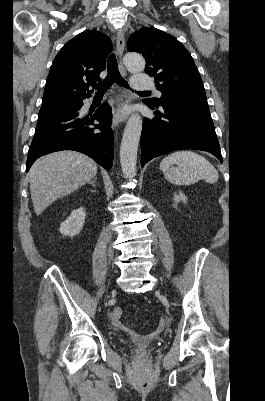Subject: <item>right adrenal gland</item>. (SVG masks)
I'll return each mask as SVG.
<instances>
[{
	"mask_svg": "<svg viewBox=\"0 0 265 401\" xmlns=\"http://www.w3.org/2000/svg\"><path fill=\"white\" fill-rule=\"evenodd\" d=\"M96 178L97 176H95L94 180H90L89 184H92V186H96Z\"/></svg>",
	"mask_w": 265,
	"mask_h": 401,
	"instance_id": "right-adrenal-gland-1",
	"label": "right adrenal gland"
}]
</instances>
